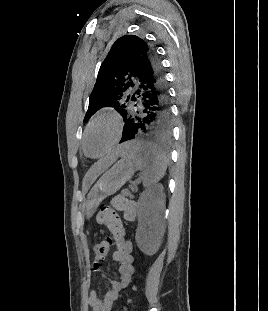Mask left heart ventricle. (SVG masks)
Listing matches in <instances>:
<instances>
[{
    "mask_svg": "<svg viewBox=\"0 0 268 311\" xmlns=\"http://www.w3.org/2000/svg\"><path fill=\"white\" fill-rule=\"evenodd\" d=\"M114 125L110 120L99 121L89 132L86 149L91 155L103 152L114 136Z\"/></svg>",
    "mask_w": 268,
    "mask_h": 311,
    "instance_id": "left-heart-ventricle-1",
    "label": "left heart ventricle"
}]
</instances>
